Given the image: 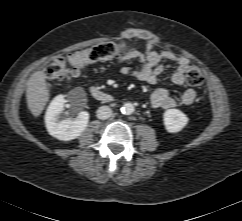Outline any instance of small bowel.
I'll use <instances>...</instances> for the list:
<instances>
[{
	"mask_svg": "<svg viewBox=\"0 0 242 221\" xmlns=\"http://www.w3.org/2000/svg\"><path fill=\"white\" fill-rule=\"evenodd\" d=\"M126 39L133 37L146 40L145 51H129L117 57L116 64H121L130 59H138L140 65L137 68L124 66L120 69V73L126 77H132L139 81L155 84L161 72L163 71L162 62H174L177 67L172 74V82L174 85L182 86L185 81V73L189 67V60L185 57L179 56L171 51H156L154 43L144 32L131 31L125 34ZM196 99V92L188 88L181 95V103L184 105H191ZM153 108L156 109H170L177 105L176 100L172 97L170 91L166 88L156 89L150 98Z\"/></svg>",
	"mask_w": 242,
	"mask_h": 221,
	"instance_id": "c3829d8e",
	"label": "small bowel"
}]
</instances>
